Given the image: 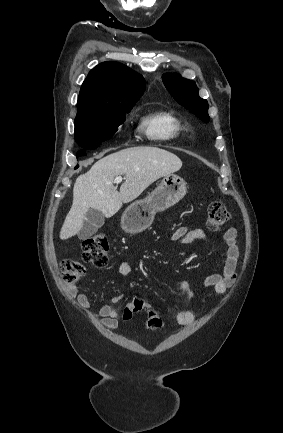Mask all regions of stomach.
<instances>
[{
	"label": "stomach",
	"mask_w": 283,
	"mask_h": 433,
	"mask_svg": "<svg viewBox=\"0 0 283 433\" xmlns=\"http://www.w3.org/2000/svg\"><path fill=\"white\" fill-rule=\"evenodd\" d=\"M186 192L187 186L184 178L177 174H165L159 186L152 190L146 198L135 200L124 210L122 214L125 219L124 231L138 233L141 227L153 221L155 212L176 204Z\"/></svg>",
	"instance_id": "1"
}]
</instances>
